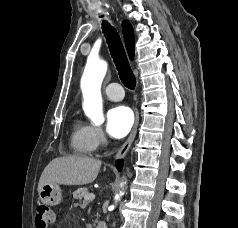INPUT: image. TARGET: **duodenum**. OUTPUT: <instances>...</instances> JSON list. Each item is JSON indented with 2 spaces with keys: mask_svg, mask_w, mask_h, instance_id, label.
I'll list each match as a JSON object with an SVG mask.
<instances>
[{
  "mask_svg": "<svg viewBox=\"0 0 238 228\" xmlns=\"http://www.w3.org/2000/svg\"><path fill=\"white\" fill-rule=\"evenodd\" d=\"M96 228H106V226L100 221L97 223Z\"/></svg>",
  "mask_w": 238,
  "mask_h": 228,
  "instance_id": "1",
  "label": "duodenum"
}]
</instances>
